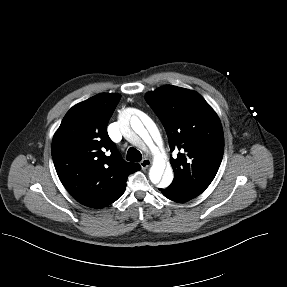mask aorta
<instances>
[{"mask_svg": "<svg viewBox=\"0 0 287 287\" xmlns=\"http://www.w3.org/2000/svg\"><path fill=\"white\" fill-rule=\"evenodd\" d=\"M130 124L134 132L143 139V141L155 154L153 165L149 170V178L151 182L158 184L162 188L168 187L171 184L174 176L171 166L166 165L164 160L160 158L158 151L152 142V139L154 141L160 139V132L156 124L145 114L142 116V122L137 116H132Z\"/></svg>", "mask_w": 287, "mask_h": 287, "instance_id": "762f6f07", "label": "aorta"}]
</instances>
